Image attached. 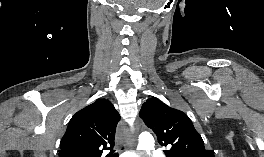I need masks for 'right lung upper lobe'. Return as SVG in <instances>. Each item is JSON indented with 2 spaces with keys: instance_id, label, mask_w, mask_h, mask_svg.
Segmentation results:
<instances>
[{
  "instance_id": "cb5924a9",
  "label": "right lung upper lobe",
  "mask_w": 264,
  "mask_h": 157,
  "mask_svg": "<svg viewBox=\"0 0 264 157\" xmlns=\"http://www.w3.org/2000/svg\"><path fill=\"white\" fill-rule=\"evenodd\" d=\"M119 113L109 100L98 99L71 118L61 140L59 157H101L112 150Z\"/></svg>"
}]
</instances>
